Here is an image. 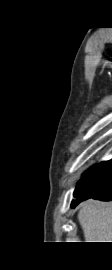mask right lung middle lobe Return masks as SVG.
Instances as JSON below:
<instances>
[{
  "label": "right lung middle lobe",
  "mask_w": 112,
  "mask_h": 270,
  "mask_svg": "<svg viewBox=\"0 0 112 270\" xmlns=\"http://www.w3.org/2000/svg\"><path fill=\"white\" fill-rule=\"evenodd\" d=\"M101 165V163L89 168L82 176V179L86 176H88L89 174H91L92 172H94L99 166ZM82 179L77 183V187L74 191V197L77 199V197L81 196L83 194L84 189L82 188V184L81 181Z\"/></svg>",
  "instance_id": "1"
}]
</instances>
